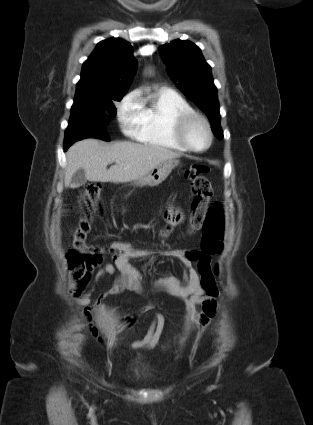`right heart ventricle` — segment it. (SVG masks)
<instances>
[{
  "label": "right heart ventricle",
  "instance_id": "e07e8e85",
  "mask_svg": "<svg viewBox=\"0 0 313 425\" xmlns=\"http://www.w3.org/2000/svg\"><path fill=\"white\" fill-rule=\"evenodd\" d=\"M140 103V123L133 135L135 139L153 147L188 151L177 141L174 124L179 114L193 111L189 103L169 89L154 90Z\"/></svg>",
  "mask_w": 313,
  "mask_h": 425
}]
</instances>
